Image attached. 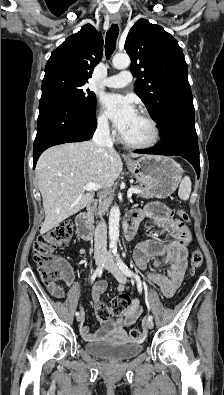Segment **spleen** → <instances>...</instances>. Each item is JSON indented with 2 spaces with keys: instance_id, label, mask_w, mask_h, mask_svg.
Listing matches in <instances>:
<instances>
[{
  "instance_id": "obj_1",
  "label": "spleen",
  "mask_w": 224,
  "mask_h": 395,
  "mask_svg": "<svg viewBox=\"0 0 224 395\" xmlns=\"http://www.w3.org/2000/svg\"><path fill=\"white\" fill-rule=\"evenodd\" d=\"M191 193V180L185 176L180 183L178 195L182 200H188Z\"/></svg>"
}]
</instances>
